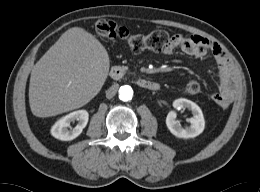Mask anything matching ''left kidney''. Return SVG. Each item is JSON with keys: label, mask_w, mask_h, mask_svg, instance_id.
I'll return each mask as SVG.
<instances>
[{"label": "left kidney", "mask_w": 260, "mask_h": 192, "mask_svg": "<svg viewBox=\"0 0 260 192\" xmlns=\"http://www.w3.org/2000/svg\"><path fill=\"white\" fill-rule=\"evenodd\" d=\"M173 107L179 110L189 109L192 113V117L189 119L190 126L186 128L181 127L174 111L168 113L166 126L174 136L187 139L194 138L203 132L205 120L200 107L196 103L185 98H179L173 102Z\"/></svg>", "instance_id": "5707ae66"}]
</instances>
